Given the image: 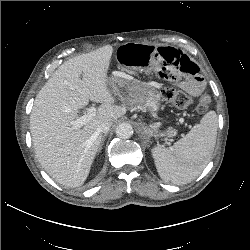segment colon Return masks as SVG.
<instances>
[{"label": "colon", "instance_id": "1", "mask_svg": "<svg viewBox=\"0 0 250 250\" xmlns=\"http://www.w3.org/2000/svg\"><path fill=\"white\" fill-rule=\"evenodd\" d=\"M162 97L170 105L178 108H187L192 104V98L186 92L174 88H164ZM212 99L209 93H204L197 101L196 111L205 112L211 105Z\"/></svg>", "mask_w": 250, "mask_h": 250}]
</instances>
